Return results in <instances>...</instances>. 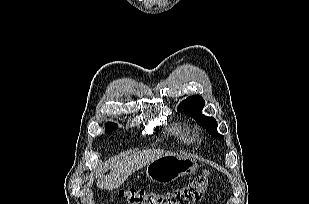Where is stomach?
<instances>
[{
  "label": "stomach",
  "mask_w": 309,
  "mask_h": 204,
  "mask_svg": "<svg viewBox=\"0 0 309 204\" xmlns=\"http://www.w3.org/2000/svg\"><path fill=\"white\" fill-rule=\"evenodd\" d=\"M194 159L181 155H167L150 162L146 167L147 177L155 182H170L195 172Z\"/></svg>",
  "instance_id": "obj_1"
}]
</instances>
